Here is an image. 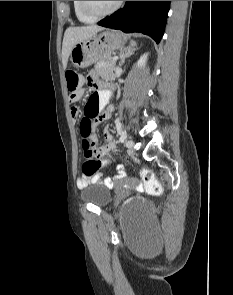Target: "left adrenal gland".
Returning <instances> with one entry per match:
<instances>
[{
	"label": "left adrenal gland",
	"mask_w": 233,
	"mask_h": 295,
	"mask_svg": "<svg viewBox=\"0 0 233 295\" xmlns=\"http://www.w3.org/2000/svg\"><path fill=\"white\" fill-rule=\"evenodd\" d=\"M136 50H138V48H133L132 46H129L125 50L121 51L119 54V57H120L119 66H122L125 62V59L131 56L132 54H134Z\"/></svg>",
	"instance_id": "1"
}]
</instances>
